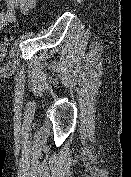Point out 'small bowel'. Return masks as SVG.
Segmentation results:
<instances>
[{
  "mask_svg": "<svg viewBox=\"0 0 131 177\" xmlns=\"http://www.w3.org/2000/svg\"><path fill=\"white\" fill-rule=\"evenodd\" d=\"M0 32L16 20L17 14H28L36 6V0H0Z\"/></svg>",
  "mask_w": 131,
  "mask_h": 177,
  "instance_id": "small-bowel-1",
  "label": "small bowel"
}]
</instances>
